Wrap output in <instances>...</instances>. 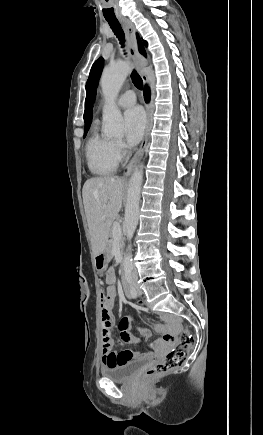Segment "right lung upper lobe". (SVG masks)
I'll list each match as a JSON object with an SVG mask.
<instances>
[{
	"mask_svg": "<svg viewBox=\"0 0 263 435\" xmlns=\"http://www.w3.org/2000/svg\"><path fill=\"white\" fill-rule=\"evenodd\" d=\"M137 38H138V35H137ZM138 45H139V51H140L144 56H146L145 50H144V48H143V46H142V44H141L139 38H138ZM85 116H86V111H85V113H84V119H85Z\"/></svg>",
	"mask_w": 263,
	"mask_h": 435,
	"instance_id": "cb5924a9",
	"label": "right lung upper lobe"
}]
</instances>
